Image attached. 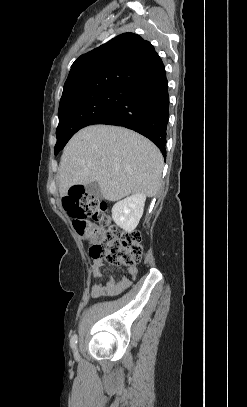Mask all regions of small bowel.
I'll list each match as a JSON object with an SVG mask.
<instances>
[{
	"instance_id": "c3829d8e",
	"label": "small bowel",
	"mask_w": 247,
	"mask_h": 407,
	"mask_svg": "<svg viewBox=\"0 0 247 407\" xmlns=\"http://www.w3.org/2000/svg\"><path fill=\"white\" fill-rule=\"evenodd\" d=\"M103 266L104 264L101 259H95L90 269L91 277L101 278V269L103 268ZM137 273L138 270L136 267L129 268L128 275L126 277L122 278L119 281H114L113 279H111L106 283L95 285L92 287L91 294L93 297L118 294L131 285L132 281L136 278Z\"/></svg>"
}]
</instances>
